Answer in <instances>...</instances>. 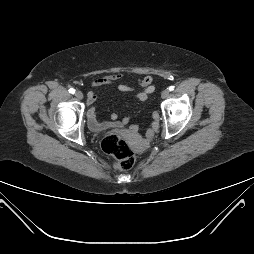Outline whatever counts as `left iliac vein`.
<instances>
[{
  "mask_svg": "<svg viewBox=\"0 0 254 254\" xmlns=\"http://www.w3.org/2000/svg\"><path fill=\"white\" fill-rule=\"evenodd\" d=\"M168 96H169V90H167V89L163 90L162 93H161V97H162L163 99H165V98H167Z\"/></svg>",
  "mask_w": 254,
  "mask_h": 254,
  "instance_id": "1",
  "label": "left iliac vein"
}]
</instances>
